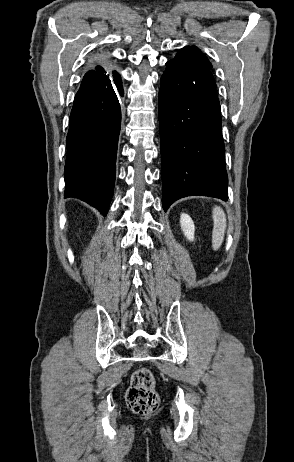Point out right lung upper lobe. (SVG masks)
<instances>
[{"label": "right lung upper lobe", "mask_w": 294, "mask_h": 462, "mask_svg": "<svg viewBox=\"0 0 294 462\" xmlns=\"http://www.w3.org/2000/svg\"><path fill=\"white\" fill-rule=\"evenodd\" d=\"M117 72L112 69L109 58L100 57L93 68L89 70L82 80L83 82H96L102 79L117 76Z\"/></svg>", "instance_id": "obj_1"}]
</instances>
